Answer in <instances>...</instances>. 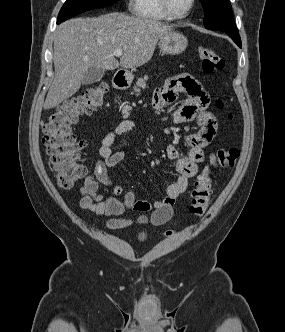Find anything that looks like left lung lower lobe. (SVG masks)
<instances>
[{
    "label": "left lung lower lobe",
    "mask_w": 285,
    "mask_h": 332,
    "mask_svg": "<svg viewBox=\"0 0 285 332\" xmlns=\"http://www.w3.org/2000/svg\"><path fill=\"white\" fill-rule=\"evenodd\" d=\"M231 38L232 40L239 46L241 47V39H240V36L239 34H232V33H227Z\"/></svg>",
    "instance_id": "left-lung-lower-lobe-1"
}]
</instances>
